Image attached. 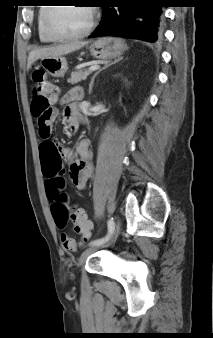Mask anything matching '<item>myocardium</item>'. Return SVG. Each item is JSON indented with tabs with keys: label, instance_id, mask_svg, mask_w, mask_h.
Wrapping results in <instances>:
<instances>
[{
	"label": "myocardium",
	"instance_id": "1",
	"mask_svg": "<svg viewBox=\"0 0 213 338\" xmlns=\"http://www.w3.org/2000/svg\"><path fill=\"white\" fill-rule=\"evenodd\" d=\"M56 7H59V6H49V8L46 11V14L44 16V20H43V31H44L45 35L49 39H51L52 41H69V40H75V39L83 38V37L89 35L92 32V30L94 29V27L96 25V18H97L98 10H97L96 7H94L92 5H87L85 7L89 8V10H90V20H89V23L84 30H82L81 32H78V33L68 34V35H60V34L53 32L51 27H50V16H51L54 8H56Z\"/></svg>",
	"mask_w": 213,
	"mask_h": 338
}]
</instances>
